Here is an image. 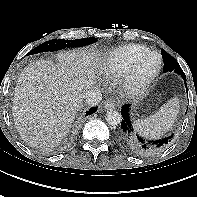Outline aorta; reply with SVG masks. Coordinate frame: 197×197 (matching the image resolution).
<instances>
[{
	"instance_id": "obj_1",
	"label": "aorta",
	"mask_w": 197,
	"mask_h": 197,
	"mask_svg": "<svg viewBox=\"0 0 197 197\" xmlns=\"http://www.w3.org/2000/svg\"><path fill=\"white\" fill-rule=\"evenodd\" d=\"M105 119L109 125L116 126L120 124L122 117L118 111L110 110L107 112Z\"/></svg>"
}]
</instances>
